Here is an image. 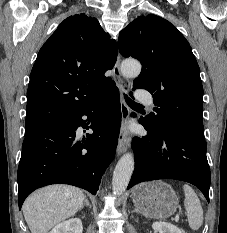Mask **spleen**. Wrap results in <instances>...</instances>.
Wrapping results in <instances>:
<instances>
[{"mask_svg": "<svg viewBox=\"0 0 227 233\" xmlns=\"http://www.w3.org/2000/svg\"><path fill=\"white\" fill-rule=\"evenodd\" d=\"M183 190L189 226L192 230H198L203 223V209L200 200L191 186L185 184Z\"/></svg>", "mask_w": 227, "mask_h": 233, "instance_id": "obj_1", "label": "spleen"}]
</instances>
